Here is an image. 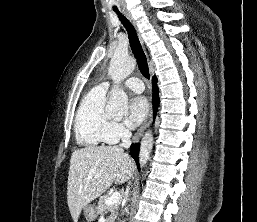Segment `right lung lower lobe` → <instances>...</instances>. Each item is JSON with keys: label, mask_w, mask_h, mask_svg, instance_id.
<instances>
[{"label": "right lung lower lobe", "mask_w": 257, "mask_h": 222, "mask_svg": "<svg viewBox=\"0 0 257 222\" xmlns=\"http://www.w3.org/2000/svg\"><path fill=\"white\" fill-rule=\"evenodd\" d=\"M152 89H153V99H152V102H153V106H154V118H155V115L157 113V107L159 105V96H158L159 89L157 87V78L156 77H153V79H152ZM139 149H140V145L139 144H134L130 148V155L136 161L138 169H140L139 163H138Z\"/></svg>", "instance_id": "1"}]
</instances>
